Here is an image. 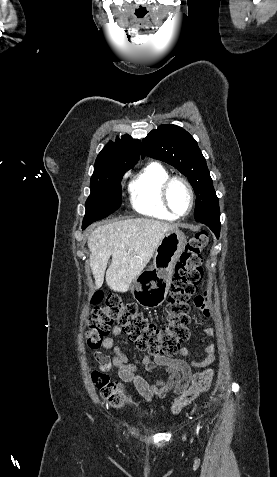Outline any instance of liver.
I'll return each mask as SVG.
<instances>
[{
  "mask_svg": "<svg viewBox=\"0 0 277 477\" xmlns=\"http://www.w3.org/2000/svg\"><path fill=\"white\" fill-rule=\"evenodd\" d=\"M174 229L173 224L148 218L117 221L95 228L88 238L95 287L102 286L112 256L106 283L114 291L128 290L152 258L162 237Z\"/></svg>",
  "mask_w": 277,
  "mask_h": 477,
  "instance_id": "1",
  "label": "liver"
}]
</instances>
